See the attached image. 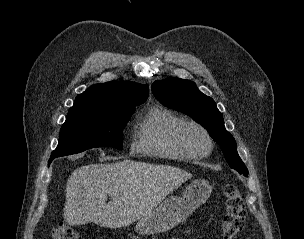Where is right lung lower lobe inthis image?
I'll return each mask as SVG.
<instances>
[{
	"label": "right lung lower lobe",
	"mask_w": 304,
	"mask_h": 239,
	"mask_svg": "<svg viewBox=\"0 0 304 239\" xmlns=\"http://www.w3.org/2000/svg\"><path fill=\"white\" fill-rule=\"evenodd\" d=\"M53 159H54V158H53V157H51V159L49 160V162H48V163L50 164V163L52 162V160H53Z\"/></svg>",
	"instance_id": "1"
}]
</instances>
